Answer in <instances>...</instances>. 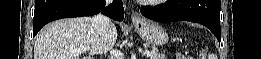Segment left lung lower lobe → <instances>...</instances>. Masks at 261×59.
<instances>
[{
	"label": "left lung lower lobe",
	"mask_w": 261,
	"mask_h": 59,
	"mask_svg": "<svg viewBox=\"0 0 261 59\" xmlns=\"http://www.w3.org/2000/svg\"><path fill=\"white\" fill-rule=\"evenodd\" d=\"M141 14L159 22L191 21L205 25L220 35V0H168L163 6H141Z\"/></svg>",
	"instance_id": "left-lung-lower-lobe-1"
}]
</instances>
